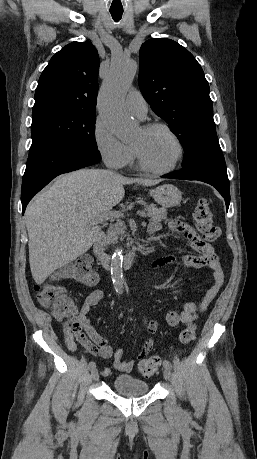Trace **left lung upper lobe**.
I'll list each match as a JSON object with an SVG mask.
<instances>
[{
  "instance_id": "1",
  "label": "left lung upper lobe",
  "mask_w": 257,
  "mask_h": 459,
  "mask_svg": "<svg viewBox=\"0 0 257 459\" xmlns=\"http://www.w3.org/2000/svg\"><path fill=\"white\" fill-rule=\"evenodd\" d=\"M139 59V87L145 100L171 126L186 151L182 166L197 164L206 139L217 137L210 89L200 64L183 46L166 38L143 43Z\"/></svg>"
}]
</instances>
